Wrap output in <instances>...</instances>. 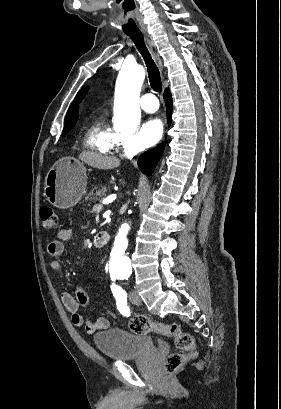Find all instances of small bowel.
<instances>
[{"label": "small bowel", "instance_id": "1", "mask_svg": "<svg viewBox=\"0 0 281 409\" xmlns=\"http://www.w3.org/2000/svg\"><path fill=\"white\" fill-rule=\"evenodd\" d=\"M72 237V231L67 228L61 229L57 237L52 240L48 245V252L51 256L58 257L63 254L65 250V243ZM51 269L61 275L63 273L62 263L55 259L50 263ZM62 302L70 313L71 322L73 325L81 328L84 333L92 334L96 331L106 330L110 327V322L107 318L100 317L95 321L86 319L80 312L81 306L89 307L90 298L84 291L78 292L77 296L72 295L68 291H64L61 294Z\"/></svg>", "mask_w": 281, "mask_h": 409}]
</instances>
